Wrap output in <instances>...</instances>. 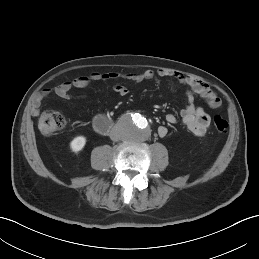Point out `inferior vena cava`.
Wrapping results in <instances>:
<instances>
[{
	"label": "inferior vena cava",
	"instance_id": "1",
	"mask_svg": "<svg viewBox=\"0 0 259 259\" xmlns=\"http://www.w3.org/2000/svg\"><path fill=\"white\" fill-rule=\"evenodd\" d=\"M122 136L120 135L119 132L117 131H112L111 134H110V138L113 140V141H118Z\"/></svg>",
	"mask_w": 259,
	"mask_h": 259
}]
</instances>
